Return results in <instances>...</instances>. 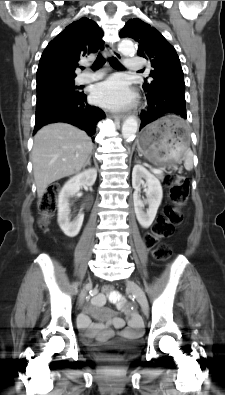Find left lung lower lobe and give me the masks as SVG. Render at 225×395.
<instances>
[{
  "label": "left lung lower lobe",
  "mask_w": 225,
  "mask_h": 395,
  "mask_svg": "<svg viewBox=\"0 0 225 395\" xmlns=\"http://www.w3.org/2000/svg\"><path fill=\"white\" fill-rule=\"evenodd\" d=\"M146 98L148 106L141 112L140 129L166 114L187 118L185 96L181 91L148 93ZM185 130L187 132V127Z\"/></svg>",
  "instance_id": "left-lung-lower-lobe-1"
}]
</instances>
